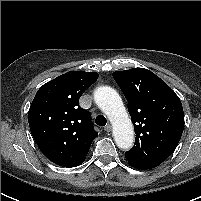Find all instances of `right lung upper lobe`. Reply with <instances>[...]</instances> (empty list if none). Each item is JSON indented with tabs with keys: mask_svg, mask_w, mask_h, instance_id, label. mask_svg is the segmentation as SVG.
I'll use <instances>...</instances> for the list:
<instances>
[{
	"mask_svg": "<svg viewBox=\"0 0 201 201\" xmlns=\"http://www.w3.org/2000/svg\"><path fill=\"white\" fill-rule=\"evenodd\" d=\"M98 78L96 72L72 71L47 82L29 109L31 133L41 152L63 167L82 164L98 136L79 98Z\"/></svg>",
	"mask_w": 201,
	"mask_h": 201,
	"instance_id": "right-lung-upper-lobe-1",
	"label": "right lung upper lobe"
}]
</instances>
